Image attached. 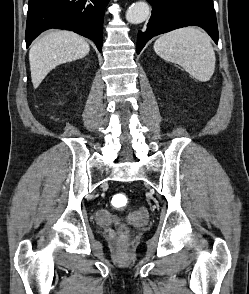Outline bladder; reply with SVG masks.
<instances>
[{"mask_svg":"<svg viewBox=\"0 0 249 294\" xmlns=\"http://www.w3.org/2000/svg\"><path fill=\"white\" fill-rule=\"evenodd\" d=\"M97 220L102 224H106L112 221V217L106 212H98Z\"/></svg>","mask_w":249,"mask_h":294,"instance_id":"31cf9c89","label":"bladder"}]
</instances>
